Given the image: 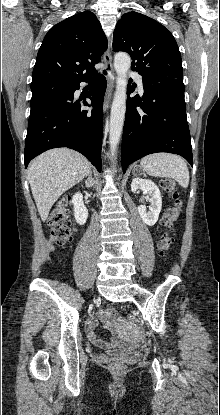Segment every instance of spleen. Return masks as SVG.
I'll list each match as a JSON object with an SVG mask.
<instances>
[{
	"label": "spleen",
	"mask_w": 220,
	"mask_h": 415,
	"mask_svg": "<svg viewBox=\"0 0 220 415\" xmlns=\"http://www.w3.org/2000/svg\"><path fill=\"white\" fill-rule=\"evenodd\" d=\"M140 167L149 175L175 179L183 188L189 185V170L185 161L173 154L155 153L141 159Z\"/></svg>",
	"instance_id": "spleen-1"
}]
</instances>
